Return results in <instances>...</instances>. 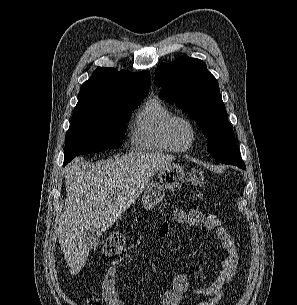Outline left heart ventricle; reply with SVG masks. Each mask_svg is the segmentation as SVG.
Masks as SVG:
<instances>
[{
	"instance_id": "b2bd125f",
	"label": "left heart ventricle",
	"mask_w": 297,
	"mask_h": 305,
	"mask_svg": "<svg viewBox=\"0 0 297 305\" xmlns=\"http://www.w3.org/2000/svg\"><path fill=\"white\" fill-rule=\"evenodd\" d=\"M175 134L178 139V141L182 144L185 145L187 144L189 138H190V131L188 126L183 123L179 122L175 126Z\"/></svg>"
}]
</instances>
